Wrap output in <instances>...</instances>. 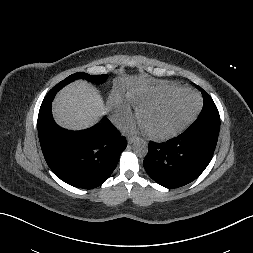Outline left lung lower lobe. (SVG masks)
I'll return each mask as SVG.
<instances>
[{
    "instance_id": "left-lung-lower-lobe-1",
    "label": "left lung lower lobe",
    "mask_w": 253,
    "mask_h": 253,
    "mask_svg": "<svg viewBox=\"0 0 253 253\" xmlns=\"http://www.w3.org/2000/svg\"><path fill=\"white\" fill-rule=\"evenodd\" d=\"M220 117L203 116L165 143L150 142L143 165L149 176L169 189L195 180L208 166L218 140Z\"/></svg>"
}]
</instances>
